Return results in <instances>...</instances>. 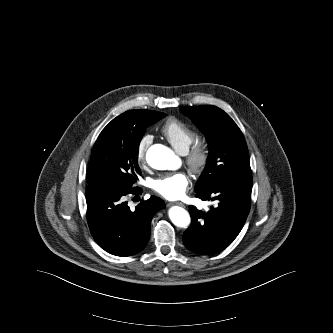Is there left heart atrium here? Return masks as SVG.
Returning <instances> with one entry per match:
<instances>
[{
	"label": "left heart atrium",
	"mask_w": 333,
	"mask_h": 333,
	"mask_svg": "<svg viewBox=\"0 0 333 333\" xmlns=\"http://www.w3.org/2000/svg\"><path fill=\"white\" fill-rule=\"evenodd\" d=\"M189 185V179L184 173H174L155 179L152 189L166 199L174 200L181 198Z\"/></svg>",
	"instance_id": "left-heart-atrium-1"
}]
</instances>
